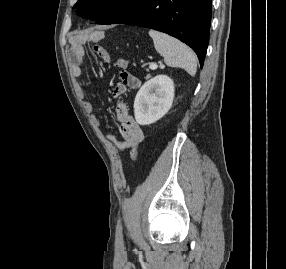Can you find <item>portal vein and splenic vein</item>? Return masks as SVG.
<instances>
[{
  "instance_id": "obj_1",
  "label": "portal vein and splenic vein",
  "mask_w": 286,
  "mask_h": 269,
  "mask_svg": "<svg viewBox=\"0 0 286 269\" xmlns=\"http://www.w3.org/2000/svg\"><path fill=\"white\" fill-rule=\"evenodd\" d=\"M157 64L156 63H152V64H150V66H149V68L150 69H152V70H155V69H157Z\"/></svg>"
}]
</instances>
